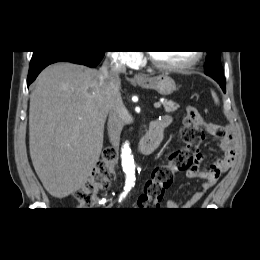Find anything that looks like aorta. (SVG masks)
<instances>
[{"label":"aorta","instance_id":"1","mask_svg":"<svg viewBox=\"0 0 260 260\" xmlns=\"http://www.w3.org/2000/svg\"><path fill=\"white\" fill-rule=\"evenodd\" d=\"M121 162L124 173L126 174V183L133 184L135 181L134 158L131 154L129 145L126 143L122 147Z\"/></svg>","mask_w":260,"mask_h":260}]
</instances>
